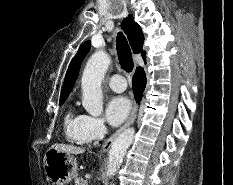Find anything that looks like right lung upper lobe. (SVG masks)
Segmentation results:
<instances>
[{"label": "right lung upper lobe", "mask_w": 233, "mask_h": 185, "mask_svg": "<svg viewBox=\"0 0 233 185\" xmlns=\"http://www.w3.org/2000/svg\"><path fill=\"white\" fill-rule=\"evenodd\" d=\"M121 26L128 37L133 52L136 54L141 53L143 59L145 60L146 53L145 51L142 50V46L144 43V36L140 26L134 21L132 15H129L127 18H125L122 21ZM89 50H90V41H86L80 46L77 54L72 59L65 76L64 84L62 87V93L60 95V102L65 101L69 93L71 92L73 85L76 81V78L78 76L81 63L84 57L86 56V54L89 52Z\"/></svg>", "instance_id": "obj_1"}]
</instances>
